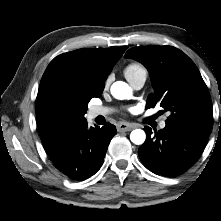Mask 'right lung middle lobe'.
I'll return each instance as SVG.
<instances>
[{
    "label": "right lung middle lobe",
    "instance_id": "dd1d6c3e",
    "mask_svg": "<svg viewBox=\"0 0 221 221\" xmlns=\"http://www.w3.org/2000/svg\"><path fill=\"white\" fill-rule=\"evenodd\" d=\"M87 85V75L79 72L73 78L55 82L47 88L42 108L54 128L72 132L85 120L89 101L93 97L99 98L103 92L93 93Z\"/></svg>",
    "mask_w": 221,
    "mask_h": 221
}]
</instances>
